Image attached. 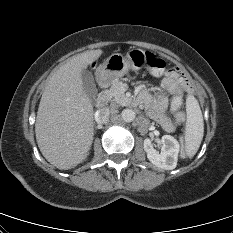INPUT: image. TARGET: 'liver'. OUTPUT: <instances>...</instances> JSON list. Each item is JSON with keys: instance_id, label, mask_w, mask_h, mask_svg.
<instances>
[{"instance_id": "1", "label": "liver", "mask_w": 233, "mask_h": 233, "mask_svg": "<svg viewBox=\"0 0 233 233\" xmlns=\"http://www.w3.org/2000/svg\"><path fill=\"white\" fill-rule=\"evenodd\" d=\"M90 50L70 58L51 77L38 108L35 133L45 159L60 170L82 163L94 136V111L81 73L102 55Z\"/></svg>"}]
</instances>
